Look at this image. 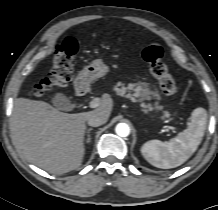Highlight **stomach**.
<instances>
[{
	"label": "stomach",
	"instance_id": "stomach-1",
	"mask_svg": "<svg viewBox=\"0 0 218 210\" xmlns=\"http://www.w3.org/2000/svg\"><path fill=\"white\" fill-rule=\"evenodd\" d=\"M109 71V67L102 59L94 60L90 65L86 66L74 80L76 91H81L89 86L94 80L105 76Z\"/></svg>",
	"mask_w": 218,
	"mask_h": 210
}]
</instances>
